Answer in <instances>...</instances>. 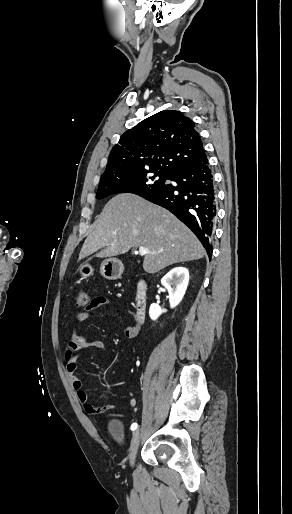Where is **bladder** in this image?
Listing matches in <instances>:
<instances>
[{
    "label": "bladder",
    "instance_id": "1",
    "mask_svg": "<svg viewBox=\"0 0 292 514\" xmlns=\"http://www.w3.org/2000/svg\"><path fill=\"white\" fill-rule=\"evenodd\" d=\"M110 430L119 444H123L124 442V430L122 424L119 421H114L110 425Z\"/></svg>",
    "mask_w": 292,
    "mask_h": 514
}]
</instances>
